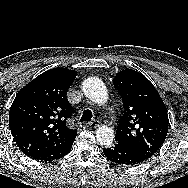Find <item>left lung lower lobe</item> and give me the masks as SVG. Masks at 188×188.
Wrapping results in <instances>:
<instances>
[{
  "mask_svg": "<svg viewBox=\"0 0 188 188\" xmlns=\"http://www.w3.org/2000/svg\"><path fill=\"white\" fill-rule=\"evenodd\" d=\"M103 152L108 160L124 165L138 164L151 157L139 150L123 146L119 143L114 144L110 148H104Z\"/></svg>",
  "mask_w": 188,
  "mask_h": 188,
  "instance_id": "left-lung-lower-lobe-1",
  "label": "left lung lower lobe"
}]
</instances>
